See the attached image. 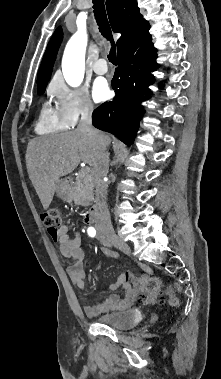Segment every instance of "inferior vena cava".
<instances>
[{"label":"inferior vena cava","instance_id":"obj_1","mask_svg":"<svg viewBox=\"0 0 221 379\" xmlns=\"http://www.w3.org/2000/svg\"><path fill=\"white\" fill-rule=\"evenodd\" d=\"M91 109L92 107L89 104L84 106L81 112V119L79 121L77 129L99 137L100 132L94 129L92 126ZM108 167L109 153L106 151V147H101L97 161L93 168V178L96 188V194L100 196L102 199L100 215L97 220V228L112 230L113 228L111 224L110 214L105 201L107 196L108 185L104 181V177L108 173Z\"/></svg>","mask_w":221,"mask_h":379}]
</instances>
